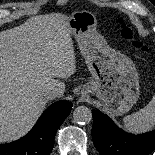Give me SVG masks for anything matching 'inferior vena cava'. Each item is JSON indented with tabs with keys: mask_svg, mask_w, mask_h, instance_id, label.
Listing matches in <instances>:
<instances>
[{
	"mask_svg": "<svg viewBox=\"0 0 155 155\" xmlns=\"http://www.w3.org/2000/svg\"><path fill=\"white\" fill-rule=\"evenodd\" d=\"M43 95L48 100H52V99H55L57 97H61L63 95V90L61 88H58L55 86H50L44 90Z\"/></svg>",
	"mask_w": 155,
	"mask_h": 155,
	"instance_id": "inferior-vena-cava-1",
	"label": "inferior vena cava"
}]
</instances>
